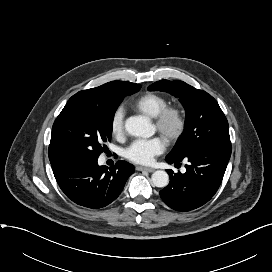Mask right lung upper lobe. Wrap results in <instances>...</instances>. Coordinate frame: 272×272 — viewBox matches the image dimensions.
Returning a JSON list of instances; mask_svg holds the SVG:
<instances>
[{
  "label": "right lung upper lobe",
  "instance_id": "right-lung-upper-lobe-1",
  "mask_svg": "<svg viewBox=\"0 0 272 272\" xmlns=\"http://www.w3.org/2000/svg\"><path fill=\"white\" fill-rule=\"evenodd\" d=\"M130 82L112 81L99 87L83 90L73 95L66 105L71 103H88L104 105L120 99L128 90ZM59 165H53L56 168Z\"/></svg>",
  "mask_w": 272,
  "mask_h": 272
}]
</instances>
